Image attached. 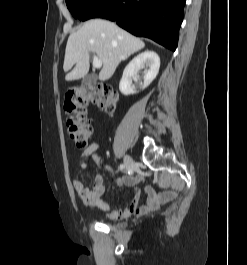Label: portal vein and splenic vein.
Here are the masks:
<instances>
[{"instance_id":"portal-vein-and-splenic-vein-1","label":"portal vein and splenic vein","mask_w":247,"mask_h":265,"mask_svg":"<svg viewBox=\"0 0 247 265\" xmlns=\"http://www.w3.org/2000/svg\"><path fill=\"white\" fill-rule=\"evenodd\" d=\"M101 66H102V61L97 56H94L93 57V67L101 68Z\"/></svg>"}]
</instances>
